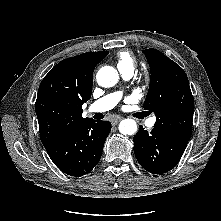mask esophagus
<instances>
[{"instance_id": "esophagus-1", "label": "esophagus", "mask_w": 221, "mask_h": 221, "mask_svg": "<svg viewBox=\"0 0 221 221\" xmlns=\"http://www.w3.org/2000/svg\"><path fill=\"white\" fill-rule=\"evenodd\" d=\"M121 120H122V117H116V118L112 119V124L117 125L119 123V121H121Z\"/></svg>"}]
</instances>
